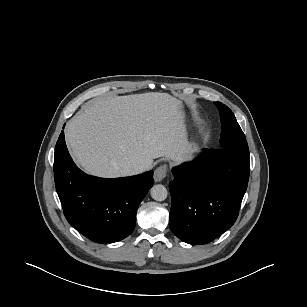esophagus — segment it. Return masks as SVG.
Instances as JSON below:
<instances>
[{
    "label": "esophagus",
    "instance_id": "obj_1",
    "mask_svg": "<svg viewBox=\"0 0 307 307\" xmlns=\"http://www.w3.org/2000/svg\"><path fill=\"white\" fill-rule=\"evenodd\" d=\"M167 165H162L156 168L154 171V180L155 182H161L167 175Z\"/></svg>",
    "mask_w": 307,
    "mask_h": 307
}]
</instances>
